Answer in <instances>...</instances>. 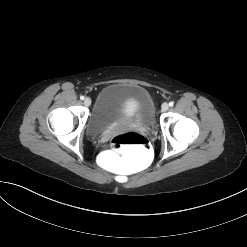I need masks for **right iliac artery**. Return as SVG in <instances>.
Segmentation results:
<instances>
[{"label": "right iliac artery", "instance_id": "obj_1", "mask_svg": "<svg viewBox=\"0 0 247 247\" xmlns=\"http://www.w3.org/2000/svg\"><path fill=\"white\" fill-rule=\"evenodd\" d=\"M80 99H81V100H84V96H80Z\"/></svg>", "mask_w": 247, "mask_h": 247}]
</instances>
